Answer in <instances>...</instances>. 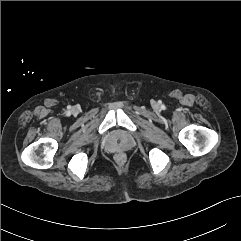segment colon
I'll return each instance as SVG.
<instances>
[{
    "mask_svg": "<svg viewBox=\"0 0 241 241\" xmlns=\"http://www.w3.org/2000/svg\"><path fill=\"white\" fill-rule=\"evenodd\" d=\"M118 158H119V159H122V158H123V156H122L121 154H119V155H118Z\"/></svg>",
    "mask_w": 241,
    "mask_h": 241,
    "instance_id": "colon-1",
    "label": "colon"
}]
</instances>
